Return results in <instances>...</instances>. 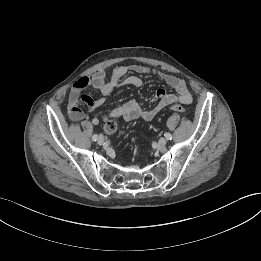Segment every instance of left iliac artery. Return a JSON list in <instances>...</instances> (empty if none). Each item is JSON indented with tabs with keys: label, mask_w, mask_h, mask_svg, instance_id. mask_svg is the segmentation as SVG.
Wrapping results in <instances>:
<instances>
[{
	"label": "left iliac artery",
	"mask_w": 261,
	"mask_h": 261,
	"mask_svg": "<svg viewBox=\"0 0 261 261\" xmlns=\"http://www.w3.org/2000/svg\"><path fill=\"white\" fill-rule=\"evenodd\" d=\"M164 136H165V138L167 139V140H171L172 139V135L170 134V133H165L164 134Z\"/></svg>",
	"instance_id": "obj_1"
}]
</instances>
